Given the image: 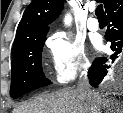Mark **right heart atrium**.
I'll use <instances>...</instances> for the list:
<instances>
[{
    "instance_id": "1",
    "label": "right heart atrium",
    "mask_w": 123,
    "mask_h": 113,
    "mask_svg": "<svg viewBox=\"0 0 123 113\" xmlns=\"http://www.w3.org/2000/svg\"><path fill=\"white\" fill-rule=\"evenodd\" d=\"M52 72L59 84L70 83L88 67L83 44L69 32H56L46 42Z\"/></svg>"
}]
</instances>
